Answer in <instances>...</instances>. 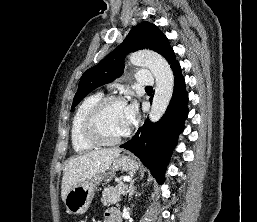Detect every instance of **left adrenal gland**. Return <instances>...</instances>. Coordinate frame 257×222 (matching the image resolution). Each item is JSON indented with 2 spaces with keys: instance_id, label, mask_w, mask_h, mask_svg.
<instances>
[{
  "instance_id": "a2214340",
  "label": "left adrenal gland",
  "mask_w": 257,
  "mask_h": 222,
  "mask_svg": "<svg viewBox=\"0 0 257 222\" xmlns=\"http://www.w3.org/2000/svg\"><path fill=\"white\" fill-rule=\"evenodd\" d=\"M128 192H129V200H131L133 193H135L134 180L130 183Z\"/></svg>"
}]
</instances>
